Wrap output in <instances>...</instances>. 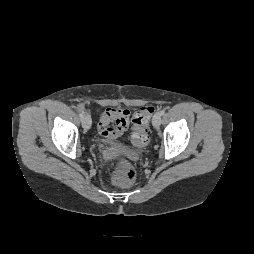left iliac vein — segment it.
<instances>
[{
    "label": "left iliac vein",
    "instance_id": "left-iliac-vein-1",
    "mask_svg": "<svg viewBox=\"0 0 254 254\" xmlns=\"http://www.w3.org/2000/svg\"><path fill=\"white\" fill-rule=\"evenodd\" d=\"M152 124L155 128H158L161 124V115L159 112H157L154 117H153V120H152Z\"/></svg>",
    "mask_w": 254,
    "mask_h": 254
}]
</instances>
